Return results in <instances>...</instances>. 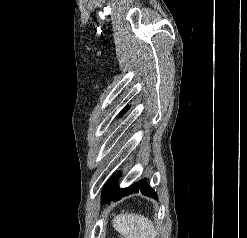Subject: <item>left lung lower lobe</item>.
Returning <instances> with one entry per match:
<instances>
[{"instance_id":"left-lung-lower-lobe-1","label":"left lung lower lobe","mask_w":247,"mask_h":238,"mask_svg":"<svg viewBox=\"0 0 247 238\" xmlns=\"http://www.w3.org/2000/svg\"><path fill=\"white\" fill-rule=\"evenodd\" d=\"M121 173L115 174L110 178V180L106 183L102 192V204L104 202H109L111 200H118L124 196L130 195L132 193L141 192L143 195L157 198V194L153 191V189L146 183V179L140 180L138 183H134L128 188L118 189L116 190V183Z\"/></svg>"}]
</instances>
